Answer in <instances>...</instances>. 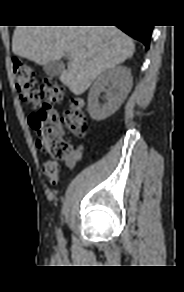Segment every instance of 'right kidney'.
I'll list each match as a JSON object with an SVG mask.
<instances>
[{
	"instance_id": "right-kidney-1",
	"label": "right kidney",
	"mask_w": 184,
	"mask_h": 292,
	"mask_svg": "<svg viewBox=\"0 0 184 292\" xmlns=\"http://www.w3.org/2000/svg\"><path fill=\"white\" fill-rule=\"evenodd\" d=\"M131 87L132 75L128 67L119 65L104 71L95 80L88 94V112L91 118L101 121L112 115L126 99ZM102 92H106V96L104 103L100 104L99 96Z\"/></svg>"
}]
</instances>
